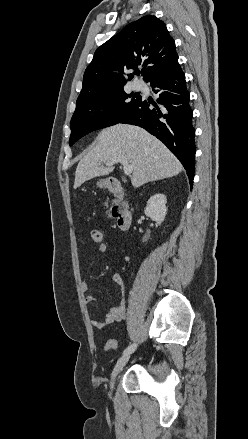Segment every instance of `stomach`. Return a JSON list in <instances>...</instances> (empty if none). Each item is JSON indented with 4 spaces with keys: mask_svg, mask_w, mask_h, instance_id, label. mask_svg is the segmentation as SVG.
<instances>
[{
    "mask_svg": "<svg viewBox=\"0 0 248 439\" xmlns=\"http://www.w3.org/2000/svg\"><path fill=\"white\" fill-rule=\"evenodd\" d=\"M107 184H108V180H107V179H100V180L97 182V186L100 187V188H105V187H107Z\"/></svg>",
    "mask_w": 248,
    "mask_h": 439,
    "instance_id": "stomach-1",
    "label": "stomach"
}]
</instances>
